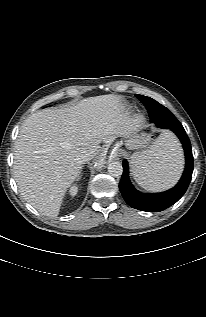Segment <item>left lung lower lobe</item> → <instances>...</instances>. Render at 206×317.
Returning <instances> with one entry per match:
<instances>
[{"instance_id":"1","label":"left lung lower lobe","mask_w":206,"mask_h":317,"mask_svg":"<svg viewBox=\"0 0 206 317\" xmlns=\"http://www.w3.org/2000/svg\"><path fill=\"white\" fill-rule=\"evenodd\" d=\"M147 105L149 117L159 120L156 124L160 128L173 131L179 138L185 153V169L178 184L172 189L154 194H143L137 191L129 179V168L126 160L123 161V174L119 183L120 192L126 203L135 209L146 212H160L175 204L186 192L193 172V155L189 138L183 126L175 121L174 115L160 103ZM162 120V121H161Z\"/></svg>"}]
</instances>
